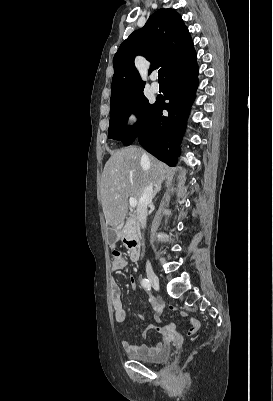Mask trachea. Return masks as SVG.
<instances>
[{
	"mask_svg": "<svg viewBox=\"0 0 273 401\" xmlns=\"http://www.w3.org/2000/svg\"><path fill=\"white\" fill-rule=\"evenodd\" d=\"M158 80L159 81H165L164 74H163V71L161 69L158 70Z\"/></svg>",
	"mask_w": 273,
	"mask_h": 401,
	"instance_id": "3493384b",
	"label": "trachea"
}]
</instances>
